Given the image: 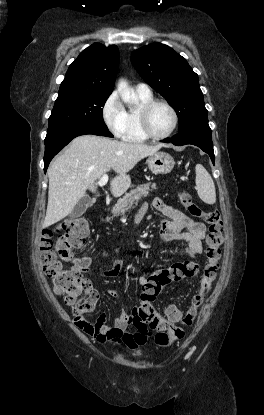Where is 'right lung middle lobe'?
<instances>
[{"instance_id": "obj_1", "label": "right lung middle lobe", "mask_w": 264, "mask_h": 415, "mask_svg": "<svg viewBox=\"0 0 264 415\" xmlns=\"http://www.w3.org/2000/svg\"><path fill=\"white\" fill-rule=\"evenodd\" d=\"M110 94L58 95L49 117L45 143L82 127L107 128L103 120L104 104Z\"/></svg>"}]
</instances>
